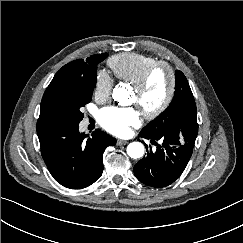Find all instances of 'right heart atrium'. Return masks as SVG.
I'll return each instance as SVG.
<instances>
[{
  "mask_svg": "<svg viewBox=\"0 0 243 243\" xmlns=\"http://www.w3.org/2000/svg\"><path fill=\"white\" fill-rule=\"evenodd\" d=\"M113 78L105 70H99L95 76L94 95L103 100L109 97L113 88Z\"/></svg>",
  "mask_w": 243,
  "mask_h": 243,
  "instance_id": "d8ad5b80",
  "label": "right heart atrium"
}]
</instances>
